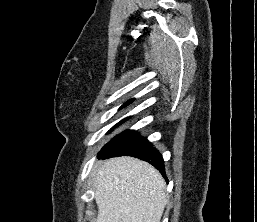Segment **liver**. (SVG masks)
<instances>
[{
	"label": "liver",
	"instance_id": "liver-1",
	"mask_svg": "<svg viewBox=\"0 0 257 222\" xmlns=\"http://www.w3.org/2000/svg\"><path fill=\"white\" fill-rule=\"evenodd\" d=\"M95 165L93 187L96 222H160L165 205V181L149 163L116 157Z\"/></svg>",
	"mask_w": 257,
	"mask_h": 222
}]
</instances>
